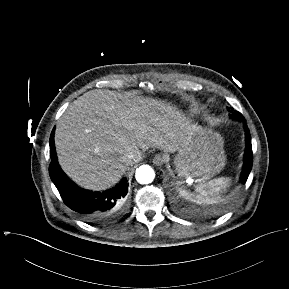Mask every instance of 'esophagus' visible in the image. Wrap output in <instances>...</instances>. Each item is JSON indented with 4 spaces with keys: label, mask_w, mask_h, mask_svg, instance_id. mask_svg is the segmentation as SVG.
<instances>
[{
    "label": "esophagus",
    "mask_w": 289,
    "mask_h": 289,
    "mask_svg": "<svg viewBox=\"0 0 289 289\" xmlns=\"http://www.w3.org/2000/svg\"><path fill=\"white\" fill-rule=\"evenodd\" d=\"M165 162H166V157L164 155L157 154L153 158V163L156 166H162Z\"/></svg>",
    "instance_id": "1"
}]
</instances>
